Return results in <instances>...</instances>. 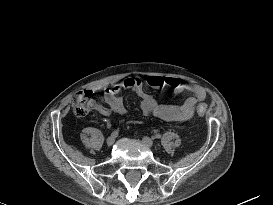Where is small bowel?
<instances>
[{"mask_svg":"<svg viewBox=\"0 0 273 205\" xmlns=\"http://www.w3.org/2000/svg\"><path fill=\"white\" fill-rule=\"evenodd\" d=\"M146 86L151 88L168 86L174 95L189 93L190 96L181 105L162 104L146 92ZM128 89L133 90L140 97V106L144 114L176 123L192 118L196 106L206 99V92L201 86L181 79L151 76L144 82L140 77L135 76L126 78L112 88L106 89L104 100L107 107L98 106L96 110L104 116H110L113 113L124 114L126 109L119 94Z\"/></svg>","mask_w":273,"mask_h":205,"instance_id":"c3829d8e","label":"small bowel"}]
</instances>
